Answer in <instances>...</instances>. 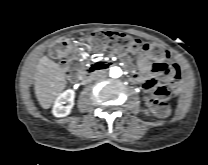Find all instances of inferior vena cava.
<instances>
[{"label":"inferior vena cava","mask_w":208,"mask_h":165,"mask_svg":"<svg viewBox=\"0 0 208 165\" xmlns=\"http://www.w3.org/2000/svg\"><path fill=\"white\" fill-rule=\"evenodd\" d=\"M92 78L96 81H100L106 78V74L104 72H98L94 74Z\"/></svg>","instance_id":"obj_1"}]
</instances>
